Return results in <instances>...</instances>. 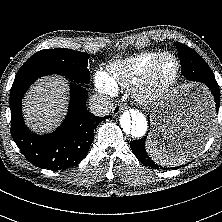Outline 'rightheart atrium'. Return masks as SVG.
I'll return each mask as SVG.
<instances>
[{"instance_id": "1", "label": "right heart atrium", "mask_w": 222, "mask_h": 222, "mask_svg": "<svg viewBox=\"0 0 222 222\" xmlns=\"http://www.w3.org/2000/svg\"><path fill=\"white\" fill-rule=\"evenodd\" d=\"M95 86L99 92L106 95H113L116 92V89L109 82L106 74L101 71H98L95 75Z\"/></svg>"}]
</instances>
